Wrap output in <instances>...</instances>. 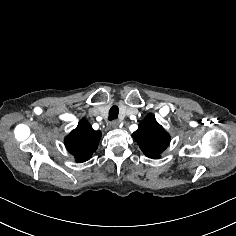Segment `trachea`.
<instances>
[{
    "instance_id": "trachea-1",
    "label": "trachea",
    "mask_w": 236,
    "mask_h": 236,
    "mask_svg": "<svg viewBox=\"0 0 236 236\" xmlns=\"http://www.w3.org/2000/svg\"><path fill=\"white\" fill-rule=\"evenodd\" d=\"M119 114V108L116 105H113L109 110V120L117 119Z\"/></svg>"
}]
</instances>
